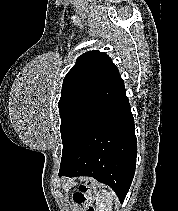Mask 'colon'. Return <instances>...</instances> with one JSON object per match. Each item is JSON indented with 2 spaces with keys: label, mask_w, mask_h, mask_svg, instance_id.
Returning a JSON list of instances; mask_svg holds the SVG:
<instances>
[{
  "label": "colon",
  "mask_w": 178,
  "mask_h": 211,
  "mask_svg": "<svg viewBox=\"0 0 178 211\" xmlns=\"http://www.w3.org/2000/svg\"><path fill=\"white\" fill-rule=\"evenodd\" d=\"M96 197L94 184L91 181H87L79 184L73 193V202L77 205H84V211H94L92 202Z\"/></svg>",
  "instance_id": "colon-1"
}]
</instances>
